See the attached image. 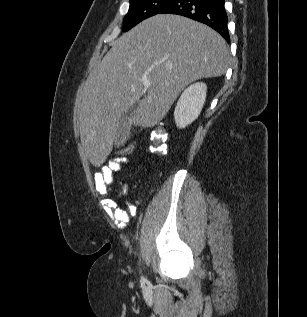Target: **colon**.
Wrapping results in <instances>:
<instances>
[{"label":"colon","mask_w":307,"mask_h":317,"mask_svg":"<svg viewBox=\"0 0 307 317\" xmlns=\"http://www.w3.org/2000/svg\"><path fill=\"white\" fill-rule=\"evenodd\" d=\"M167 138L168 131L167 125L164 122H160L151 132V146L150 152L156 156H163L167 152ZM133 144H127L117 150L118 155L126 156L134 151Z\"/></svg>","instance_id":"colon-1"}]
</instances>
